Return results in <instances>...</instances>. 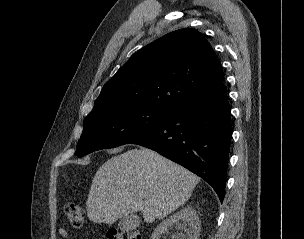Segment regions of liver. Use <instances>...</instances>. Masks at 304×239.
I'll list each match as a JSON object with an SVG mask.
<instances>
[{
    "label": "liver",
    "instance_id": "1",
    "mask_svg": "<svg viewBox=\"0 0 304 239\" xmlns=\"http://www.w3.org/2000/svg\"><path fill=\"white\" fill-rule=\"evenodd\" d=\"M200 178L147 149H131L107 160L96 172L86 201L95 223L112 224L141 212L146 223L183 205Z\"/></svg>",
    "mask_w": 304,
    "mask_h": 239
}]
</instances>
